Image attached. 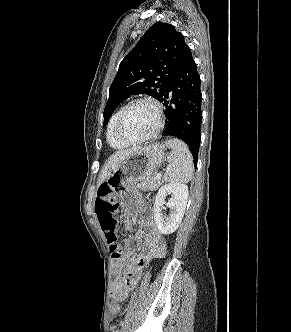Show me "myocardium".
I'll list each match as a JSON object with an SVG mask.
<instances>
[{
    "instance_id": "obj_1",
    "label": "myocardium",
    "mask_w": 291,
    "mask_h": 332,
    "mask_svg": "<svg viewBox=\"0 0 291 332\" xmlns=\"http://www.w3.org/2000/svg\"><path fill=\"white\" fill-rule=\"evenodd\" d=\"M139 103H146V104L151 105L154 108L155 113H156V118H157V124H156L155 129L149 135L139 138V139H129L122 134V131H121L122 120H123V117L126 114V112L132 106L139 104ZM163 126H164V113H163L162 105L157 100H155L151 97H140V98L133 99L132 101L127 103L121 109V111L117 117V120H116L115 132L120 141H122L128 145H134V144L144 143L146 141H149V140L155 138L161 132Z\"/></svg>"
}]
</instances>
